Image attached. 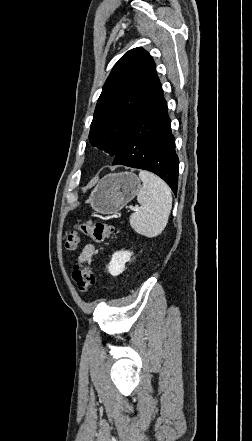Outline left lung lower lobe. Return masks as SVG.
Returning a JSON list of instances; mask_svg holds the SVG:
<instances>
[{
	"instance_id": "0a47b994",
	"label": "left lung lower lobe",
	"mask_w": 252,
	"mask_h": 441,
	"mask_svg": "<svg viewBox=\"0 0 252 441\" xmlns=\"http://www.w3.org/2000/svg\"><path fill=\"white\" fill-rule=\"evenodd\" d=\"M163 90L156 76L147 100L133 120L113 164L148 170L177 193L179 160Z\"/></svg>"
}]
</instances>
